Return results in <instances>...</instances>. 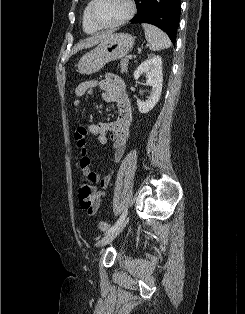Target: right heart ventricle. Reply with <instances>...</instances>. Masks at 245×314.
<instances>
[{
  "instance_id": "1",
  "label": "right heart ventricle",
  "mask_w": 245,
  "mask_h": 314,
  "mask_svg": "<svg viewBox=\"0 0 245 314\" xmlns=\"http://www.w3.org/2000/svg\"><path fill=\"white\" fill-rule=\"evenodd\" d=\"M90 3L89 2L86 7L84 8L83 11V16H82V25H83V30L88 33V34H93L96 33L99 28H97L93 22L91 21L90 17H89V7H90Z\"/></svg>"
}]
</instances>
